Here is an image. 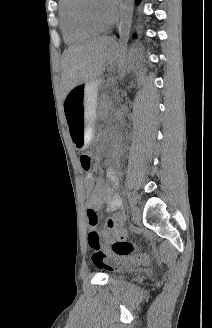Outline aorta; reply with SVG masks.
Masks as SVG:
<instances>
[{
  "instance_id": "762f6f07",
  "label": "aorta",
  "mask_w": 212,
  "mask_h": 328,
  "mask_svg": "<svg viewBox=\"0 0 212 328\" xmlns=\"http://www.w3.org/2000/svg\"><path fill=\"white\" fill-rule=\"evenodd\" d=\"M133 6L134 0H121L120 2V26H119V36H120V48L123 51L127 45L129 39L132 17H133ZM119 68L121 71V77L124 76L125 72V58L120 57Z\"/></svg>"
}]
</instances>
